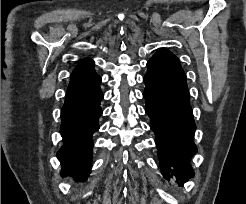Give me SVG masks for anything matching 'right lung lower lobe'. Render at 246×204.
<instances>
[{
    "mask_svg": "<svg viewBox=\"0 0 246 204\" xmlns=\"http://www.w3.org/2000/svg\"><path fill=\"white\" fill-rule=\"evenodd\" d=\"M93 64L91 59H84L74 69L61 112L63 145L57 157L62 174L79 179L90 174L92 135L99 129L98 119L102 115L101 77L94 71Z\"/></svg>",
    "mask_w": 246,
    "mask_h": 204,
    "instance_id": "right-lung-lower-lobe-1",
    "label": "right lung lower lobe"
}]
</instances>
